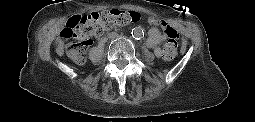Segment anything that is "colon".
Wrapping results in <instances>:
<instances>
[{
  "mask_svg": "<svg viewBox=\"0 0 255 122\" xmlns=\"http://www.w3.org/2000/svg\"><path fill=\"white\" fill-rule=\"evenodd\" d=\"M140 19L141 14L135 11L115 9L92 12L71 19L62 30L61 37L66 41L68 56L76 63H83L94 35L110 30L115 26L138 22ZM161 26L168 37L163 47V56L166 60H173L178 55V33L171 26L165 24Z\"/></svg>",
  "mask_w": 255,
  "mask_h": 122,
  "instance_id": "5ec220e1",
  "label": "colon"
}]
</instances>
